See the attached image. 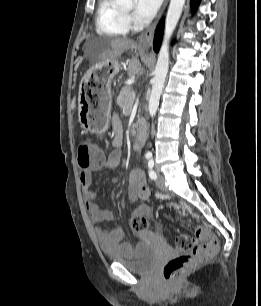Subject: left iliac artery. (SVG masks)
Instances as JSON below:
<instances>
[{
    "mask_svg": "<svg viewBox=\"0 0 261 306\" xmlns=\"http://www.w3.org/2000/svg\"><path fill=\"white\" fill-rule=\"evenodd\" d=\"M154 167V161L153 159H150L148 162V168H149V176L152 180H156L157 179V174L153 169Z\"/></svg>",
    "mask_w": 261,
    "mask_h": 306,
    "instance_id": "left-iliac-artery-1",
    "label": "left iliac artery"
}]
</instances>
